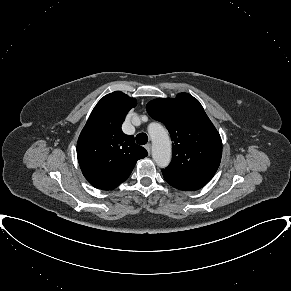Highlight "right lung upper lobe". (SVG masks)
<instances>
[{
  "label": "right lung upper lobe",
  "mask_w": 291,
  "mask_h": 291,
  "mask_svg": "<svg viewBox=\"0 0 291 291\" xmlns=\"http://www.w3.org/2000/svg\"><path fill=\"white\" fill-rule=\"evenodd\" d=\"M136 100L115 91L95 106L78 142L77 157L87 181L95 188L112 190L131 174L137 160L148 155L134 136L126 135L121 125Z\"/></svg>",
  "instance_id": "cb5924a9"
}]
</instances>
